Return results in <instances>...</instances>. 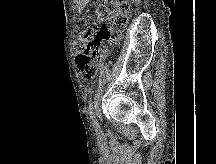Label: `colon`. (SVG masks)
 <instances>
[{
  "label": "colon",
  "instance_id": "5ec220e1",
  "mask_svg": "<svg viewBox=\"0 0 216 164\" xmlns=\"http://www.w3.org/2000/svg\"><path fill=\"white\" fill-rule=\"evenodd\" d=\"M130 8L129 0H104L95 14L87 18L74 42L79 52L76 63L83 78H94L106 56L104 43L117 41L128 23Z\"/></svg>",
  "mask_w": 216,
  "mask_h": 164
}]
</instances>
